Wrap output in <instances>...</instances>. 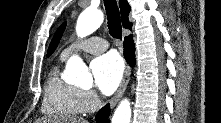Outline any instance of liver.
I'll return each mask as SVG.
<instances>
[{
  "label": "liver",
  "instance_id": "obj_1",
  "mask_svg": "<svg viewBox=\"0 0 221 123\" xmlns=\"http://www.w3.org/2000/svg\"><path fill=\"white\" fill-rule=\"evenodd\" d=\"M40 120L37 121V123L39 122ZM44 122L46 120H43ZM69 123H88V121L84 120V119H81V118H71L69 120Z\"/></svg>",
  "mask_w": 221,
  "mask_h": 123
}]
</instances>
